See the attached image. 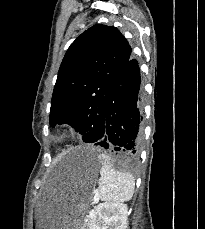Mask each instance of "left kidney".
Wrapping results in <instances>:
<instances>
[{"label": "left kidney", "mask_w": 205, "mask_h": 229, "mask_svg": "<svg viewBox=\"0 0 205 229\" xmlns=\"http://www.w3.org/2000/svg\"><path fill=\"white\" fill-rule=\"evenodd\" d=\"M128 207L119 202H105L96 206L89 229H126Z\"/></svg>", "instance_id": "1"}]
</instances>
